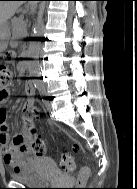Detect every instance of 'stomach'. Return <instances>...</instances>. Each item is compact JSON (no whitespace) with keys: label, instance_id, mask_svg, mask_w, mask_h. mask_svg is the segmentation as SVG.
Masks as SVG:
<instances>
[{"label":"stomach","instance_id":"0dacf381","mask_svg":"<svg viewBox=\"0 0 137 189\" xmlns=\"http://www.w3.org/2000/svg\"><path fill=\"white\" fill-rule=\"evenodd\" d=\"M10 37V32L8 29V25L5 24L2 28H0V51L2 50V47H5L6 41Z\"/></svg>","mask_w":137,"mask_h":189}]
</instances>
